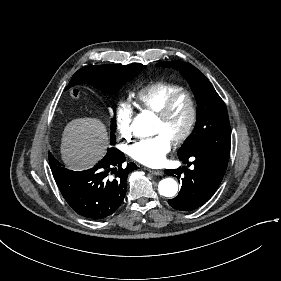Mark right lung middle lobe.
<instances>
[{
  "mask_svg": "<svg viewBox=\"0 0 281 281\" xmlns=\"http://www.w3.org/2000/svg\"><path fill=\"white\" fill-rule=\"evenodd\" d=\"M144 65L134 63L130 65H99L81 68L75 74L80 82L89 83L105 93H114L119 88L137 76ZM74 74V75H75ZM50 165H58L54 157L49 154Z\"/></svg>",
  "mask_w": 281,
  "mask_h": 281,
  "instance_id": "right-lung-middle-lobe-1",
  "label": "right lung middle lobe"
}]
</instances>
